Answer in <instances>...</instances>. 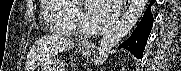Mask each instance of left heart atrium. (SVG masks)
I'll list each match as a JSON object with an SVG mask.
<instances>
[{
  "mask_svg": "<svg viewBox=\"0 0 181 71\" xmlns=\"http://www.w3.org/2000/svg\"><path fill=\"white\" fill-rule=\"evenodd\" d=\"M121 1L102 0L93 1L88 5V14L98 24H108L113 21L119 13Z\"/></svg>",
  "mask_w": 181,
  "mask_h": 71,
  "instance_id": "obj_1",
  "label": "left heart atrium"
}]
</instances>
